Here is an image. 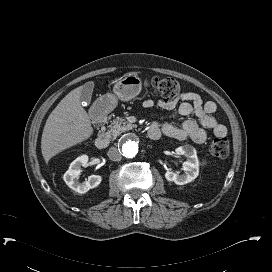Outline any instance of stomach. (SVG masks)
<instances>
[{
    "label": "stomach",
    "mask_w": 272,
    "mask_h": 272,
    "mask_svg": "<svg viewBox=\"0 0 272 272\" xmlns=\"http://www.w3.org/2000/svg\"><path fill=\"white\" fill-rule=\"evenodd\" d=\"M142 89V81L136 74L126 75L118 80L114 87V94H107L101 97L100 102L106 111H112L118 103V100L129 101L135 98Z\"/></svg>",
    "instance_id": "stomach-1"
}]
</instances>
